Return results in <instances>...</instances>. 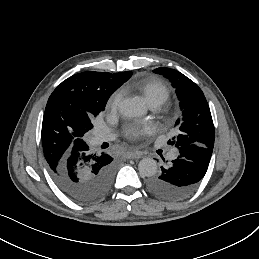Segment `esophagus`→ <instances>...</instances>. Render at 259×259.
I'll list each match as a JSON object with an SVG mask.
<instances>
[{
	"label": "esophagus",
	"instance_id": "obj_1",
	"mask_svg": "<svg viewBox=\"0 0 259 259\" xmlns=\"http://www.w3.org/2000/svg\"><path fill=\"white\" fill-rule=\"evenodd\" d=\"M127 159H138L142 157V152L129 151L125 154Z\"/></svg>",
	"mask_w": 259,
	"mask_h": 259
}]
</instances>
